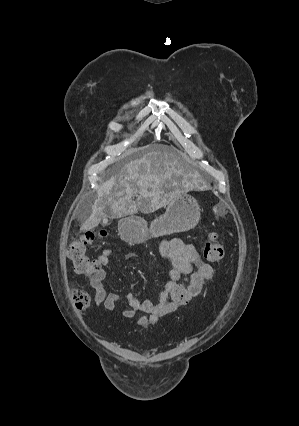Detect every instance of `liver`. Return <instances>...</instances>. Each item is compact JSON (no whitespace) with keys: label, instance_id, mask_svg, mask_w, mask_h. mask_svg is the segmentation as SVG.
Returning a JSON list of instances; mask_svg holds the SVG:
<instances>
[{"label":"liver","instance_id":"obj_1","mask_svg":"<svg viewBox=\"0 0 299 426\" xmlns=\"http://www.w3.org/2000/svg\"><path fill=\"white\" fill-rule=\"evenodd\" d=\"M185 171L184 160L171 148L151 146L139 159L128 162L118 174L99 186L92 212L81 230L98 226L102 217L107 216L106 208H110L112 218L135 214L138 210L154 212L175 197L174 193L164 194V187Z\"/></svg>","mask_w":299,"mask_h":426}]
</instances>
